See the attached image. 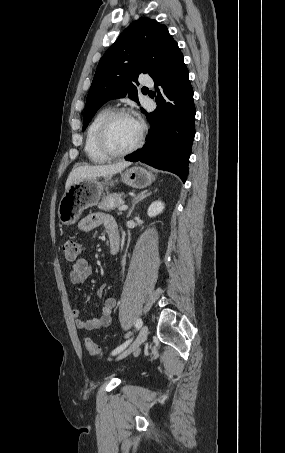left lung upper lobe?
<instances>
[{"label": "left lung upper lobe", "mask_w": 285, "mask_h": 453, "mask_svg": "<svg viewBox=\"0 0 285 453\" xmlns=\"http://www.w3.org/2000/svg\"><path fill=\"white\" fill-rule=\"evenodd\" d=\"M177 42L165 25L154 19L139 18L129 25L100 59L91 84L83 115V130L107 101L127 93L138 102L140 73L153 77L162 67Z\"/></svg>", "instance_id": "1"}]
</instances>
